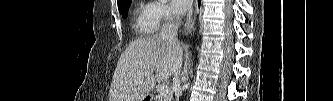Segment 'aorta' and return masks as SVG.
<instances>
[{"mask_svg":"<svg viewBox=\"0 0 333 101\" xmlns=\"http://www.w3.org/2000/svg\"><path fill=\"white\" fill-rule=\"evenodd\" d=\"M191 73H192V71H191ZM189 86H190V83L188 82V83H186L185 84V89H188L189 88Z\"/></svg>","mask_w":333,"mask_h":101,"instance_id":"1","label":"aorta"}]
</instances>
